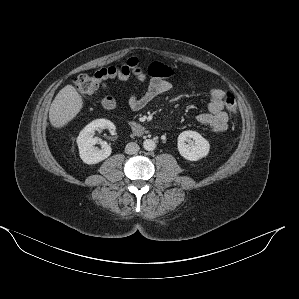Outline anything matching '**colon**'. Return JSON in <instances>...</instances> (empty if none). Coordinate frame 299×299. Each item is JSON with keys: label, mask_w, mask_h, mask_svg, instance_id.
<instances>
[{"label": "colon", "mask_w": 299, "mask_h": 299, "mask_svg": "<svg viewBox=\"0 0 299 299\" xmlns=\"http://www.w3.org/2000/svg\"><path fill=\"white\" fill-rule=\"evenodd\" d=\"M115 74V67L102 69L94 74H80L73 79V85L76 92L85 97L104 87L106 80ZM224 103L230 113L235 114L237 112V103L233 93L227 92L225 94Z\"/></svg>", "instance_id": "1"}]
</instances>
